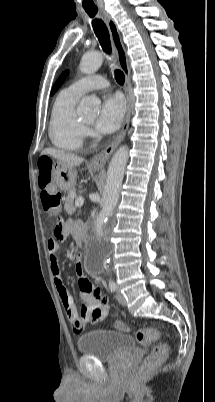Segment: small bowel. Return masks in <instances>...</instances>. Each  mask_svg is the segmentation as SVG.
<instances>
[{
	"label": "small bowel",
	"instance_id": "small-bowel-1",
	"mask_svg": "<svg viewBox=\"0 0 215 402\" xmlns=\"http://www.w3.org/2000/svg\"><path fill=\"white\" fill-rule=\"evenodd\" d=\"M74 230L72 223H59L54 231L55 238L47 241V248L51 256V272L53 281L67 318L72 324L75 332H80L85 324H94L103 321L109 313V305L102 297L97 288L89 279L83 276V265L81 257L76 258L75 270L79 276V288L86 306L78 313L73 299L69 294L61 277V267L57 254L60 249V242L65 241Z\"/></svg>",
	"mask_w": 215,
	"mask_h": 402
}]
</instances>
